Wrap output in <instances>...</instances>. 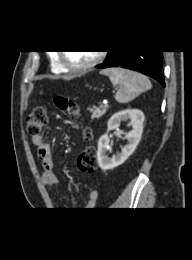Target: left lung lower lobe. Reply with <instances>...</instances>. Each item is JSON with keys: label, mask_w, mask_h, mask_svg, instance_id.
<instances>
[{"label": "left lung lower lobe", "mask_w": 192, "mask_h": 260, "mask_svg": "<svg viewBox=\"0 0 192 260\" xmlns=\"http://www.w3.org/2000/svg\"><path fill=\"white\" fill-rule=\"evenodd\" d=\"M163 51L161 50H124L112 51L102 64L97 68L122 67L141 72L157 80L165 86V79L162 75Z\"/></svg>", "instance_id": "left-lung-lower-lobe-1"}]
</instances>
